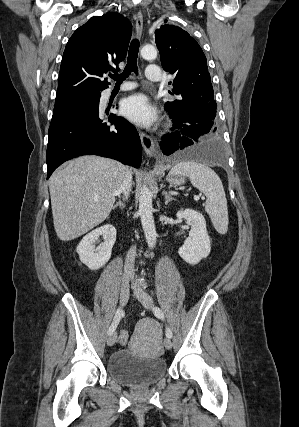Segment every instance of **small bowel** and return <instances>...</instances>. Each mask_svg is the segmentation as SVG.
I'll return each mask as SVG.
<instances>
[{
  "label": "small bowel",
  "mask_w": 299,
  "mask_h": 427,
  "mask_svg": "<svg viewBox=\"0 0 299 427\" xmlns=\"http://www.w3.org/2000/svg\"><path fill=\"white\" fill-rule=\"evenodd\" d=\"M123 333H124V331H122V333H121V335H120V338H121V336L123 335Z\"/></svg>",
  "instance_id": "1"
}]
</instances>
